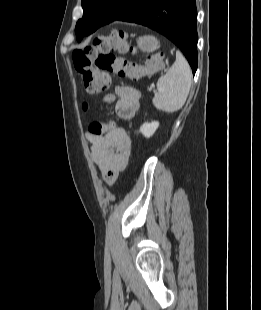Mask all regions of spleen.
Here are the masks:
<instances>
[{
  "label": "spleen",
  "instance_id": "3e777b00",
  "mask_svg": "<svg viewBox=\"0 0 261 310\" xmlns=\"http://www.w3.org/2000/svg\"><path fill=\"white\" fill-rule=\"evenodd\" d=\"M192 84V71L181 52H176V60L169 71L157 81L153 105L161 111L173 113L183 107Z\"/></svg>",
  "mask_w": 261,
  "mask_h": 310
}]
</instances>
